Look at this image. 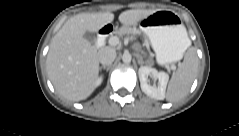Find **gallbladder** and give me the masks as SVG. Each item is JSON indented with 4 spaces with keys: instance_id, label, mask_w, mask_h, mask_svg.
Wrapping results in <instances>:
<instances>
[{
    "instance_id": "1",
    "label": "gallbladder",
    "mask_w": 239,
    "mask_h": 136,
    "mask_svg": "<svg viewBox=\"0 0 239 136\" xmlns=\"http://www.w3.org/2000/svg\"><path fill=\"white\" fill-rule=\"evenodd\" d=\"M87 41H89L91 44H94L96 42V35L93 32L87 31L83 36Z\"/></svg>"
}]
</instances>
